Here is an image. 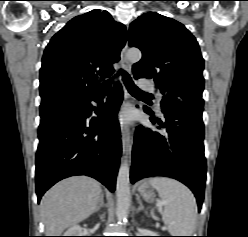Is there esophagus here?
Masks as SVG:
<instances>
[{
    "label": "esophagus",
    "instance_id": "34e87169",
    "mask_svg": "<svg viewBox=\"0 0 248 237\" xmlns=\"http://www.w3.org/2000/svg\"><path fill=\"white\" fill-rule=\"evenodd\" d=\"M127 50H128V41L126 42L124 48L121 51V66L126 72H130L131 65L127 58ZM128 99L127 93H125V100ZM121 140H122V148L123 154L125 156H129L132 148V136L128 127L122 126L121 128Z\"/></svg>",
    "mask_w": 248,
    "mask_h": 237
}]
</instances>
